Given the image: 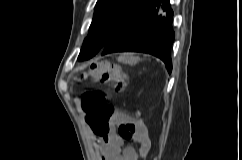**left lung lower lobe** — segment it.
Segmentation results:
<instances>
[{
	"mask_svg": "<svg viewBox=\"0 0 242 160\" xmlns=\"http://www.w3.org/2000/svg\"><path fill=\"white\" fill-rule=\"evenodd\" d=\"M172 21L170 1L155 0L105 45L102 55L121 51L149 53L160 58L171 72L170 48L174 41Z\"/></svg>",
	"mask_w": 242,
	"mask_h": 160,
	"instance_id": "left-lung-lower-lobe-1",
	"label": "left lung lower lobe"
}]
</instances>
